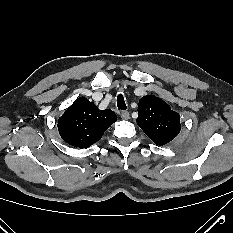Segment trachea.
Segmentation results:
<instances>
[{
	"label": "trachea",
	"instance_id": "trachea-1",
	"mask_svg": "<svg viewBox=\"0 0 233 233\" xmlns=\"http://www.w3.org/2000/svg\"><path fill=\"white\" fill-rule=\"evenodd\" d=\"M117 107L120 110H126V108H127L124 97L122 94H119L117 96Z\"/></svg>",
	"mask_w": 233,
	"mask_h": 233
}]
</instances>
